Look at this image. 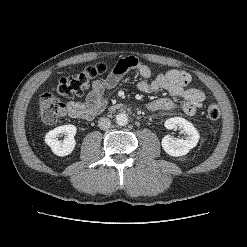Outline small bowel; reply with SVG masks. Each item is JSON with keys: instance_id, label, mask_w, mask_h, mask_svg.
Masks as SVG:
<instances>
[{"instance_id": "c3829d8e", "label": "small bowel", "mask_w": 247, "mask_h": 247, "mask_svg": "<svg viewBox=\"0 0 247 247\" xmlns=\"http://www.w3.org/2000/svg\"><path fill=\"white\" fill-rule=\"evenodd\" d=\"M128 63L129 67L124 71L112 70L105 79L94 82L85 100L74 99L67 104V113L72 118L91 120L106 106V93L115 88L129 69H136L141 80L138 89L144 93L166 91L167 97L150 101L146 109L150 112L174 111L178 108V99H182V109L189 116H195L202 107L205 99L204 93L196 88H189L191 76L182 70L172 69L160 73L152 78L149 66L140 62L135 57H127L120 60Z\"/></svg>"}]
</instances>
